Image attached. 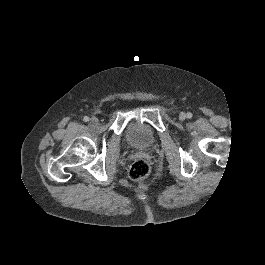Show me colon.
<instances>
[{"mask_svg": "<svg viewBox=\"0 0 265 265\" xmlns=\"http://www.w3.org/2000/svg\"><path fill=\"white\" fill-rule=\"evenodd\" d=\"M150 173V165L143 159H138L129 168V176L136 181L145 180Z\"/></svg>", "mask_w": 265, "mask_h": 265, "instance_id": "1", "label": "colon"}]
</instances>
